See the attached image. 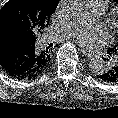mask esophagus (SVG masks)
<instances>
[{
  "mask_svg": "<svg viewBox=\"0 0 118 118\" xmlns=\"http://www.w3.org/2000/svg\"><path fill=\"white\" fill-rule=\"evenodd\" d=\"M81 52L88 58H91L93 55L88 50L81 49Z\"/></svg>",
  "mask_w": 118,
  "mask_h": 118,
  "instance_id": "34e87169",
  "label": "esophagus"
}]
</instances>
